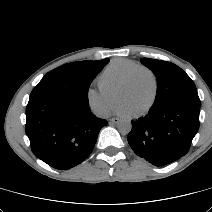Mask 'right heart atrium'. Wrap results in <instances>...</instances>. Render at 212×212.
Segmentation results:
<instances>
[{
    "mask_svg": "<svg viewBox=\"0 0 212 212\" xmlns=\"http://www.w3.org/2000/svg\"><path fill=\"white\" fill-rule=\"evenodd\" d=\"M86 98L89 108L99 116L107 115L114 101L113 95L101 87L89 89Z\"/></svg>",
    "mask_w": 212,
    "mask_h": 212,
    "instance_id": "d8ad5b80",
    "label": "right heart atrium"
}]
</instances>
